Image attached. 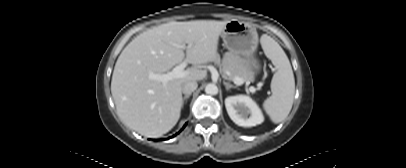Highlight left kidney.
Listing matches in <instances>:
<instances>
[{"label":"left kidney","instance_id":"1","mask_svg":"<svg viewBox=\"0 0 406 168\" xmlns=\"http://www.w3.org/2000/svg\"><path fill=\"white\" fill-rule=\"evenodd\" d=\"M225 107L231 120L238 126L252 127L264 121L259 106L249 96H229L225 99Z\"/></svg>","mask_w":406,"mask_h":168}]
</instances>
